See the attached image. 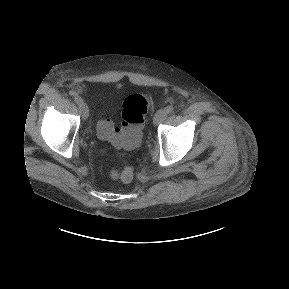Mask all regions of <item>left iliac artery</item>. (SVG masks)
Returning a JSON list of instances; mask_svg holds the SVG:
<instances>
[{"mask_svg":"<svg viewBox=\"0 0 289 289\" xmlns=\"http://www.w3.org/2000/svg\"><path fill=\"white\" fill-rule=\"evenodd\" d=\"M165 110H166V112H167L168 114H171V113H173V111H174V107L171 106V105H169V106H167V107L165 108Z\"/></svg>","mask_w":289,"mask_h":289,"instance_id":"44dca946","label":"left iliac artery"}]
</instances>
